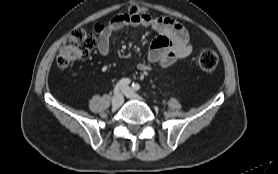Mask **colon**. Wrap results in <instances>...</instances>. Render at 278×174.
<instances>
[{
    "label": "colon",
    "instance_id": "1",
    "mask_svg": "<svg viewBox=\"0 0 278 174\" xmlns=\"http://www.w3.org/2000/svg\"><path fill=\"white\" fill-rule=\"evenodd\" d=\"M143 13V8L139 6H131L130 14ZM106 25H97L95 31L97 34L102 32ZM96 39L93 35L88 34L82 29L72 31L62 46L57 55V64L64 68L71 63L86 58L95 48ZM199 67L206 72L213 71L218 64V55L215 50L211 48L203 49L198 57Z\"/></svg>",
    "mask_w": 278,
    "mask_h": 174
}]
</instances>
